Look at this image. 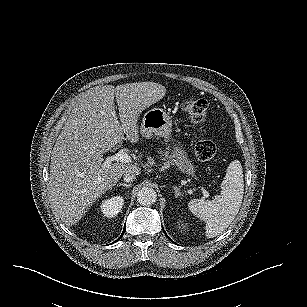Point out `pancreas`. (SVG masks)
<instances>
[{
  "label": "pancreas",
  "instance_id": "pancreas-1",
  "mask_svg": "<svg viewBox=\"0 0 307 307\" xmlns=\"http://www.w3.org/2000/svg\"><path fill=\"white\" fill-rule=\"evenodd\" d=\"M158 153L162 164L169 166L175 165L174 155L170 154L169 150H159Z\"/></svg>",
  "mask_w": 307,
  "mask_h": 307
}]
</instances>
